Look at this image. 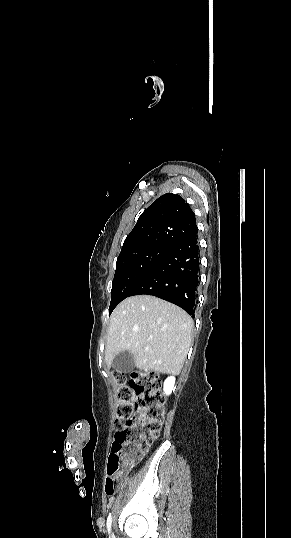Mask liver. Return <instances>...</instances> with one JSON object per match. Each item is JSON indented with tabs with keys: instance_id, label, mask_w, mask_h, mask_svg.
<instances>
[{
	"instance_id": "liver-1",
	"label": "liver",
	"mask_w": 291,
	"mask_h": 538,
	"mask_svg": "<svg viewBox=\"0 0 291 538\" xmlns=\"http://www.w3.org/2000/svg\"><path fill=\"white\" fill-rule=\"evenodd\" d=\"M192 318L181 308L150 295L126 298L113 311L105 361L122 351L133 354L138 369L180 373L188 354Z\"/></svg>"
}]
</instances>
